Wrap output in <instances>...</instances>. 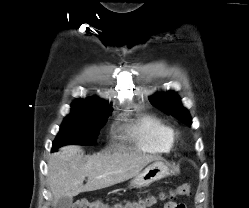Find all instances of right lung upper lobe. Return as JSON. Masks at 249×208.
<instances>
[{
  "label": "right lung upper lobe",
  "instance_id": "right-lung-upper-lobe-1",
  "mask_svg": "<svg viewBox=\"0 0 249 208\" xmlns=\"http://www.w3.org/2000/svg\"><path fill=\"white\" fill-rule=\"evenodd\" d=\"M72 108L76 109H91L95 111H109L111 110L108 103L102 101L97 97L89 98V99H77L73 104Z\"/></svg>",
  "mask_w": 249,
  "mask_h": 208
}]
</instances>
